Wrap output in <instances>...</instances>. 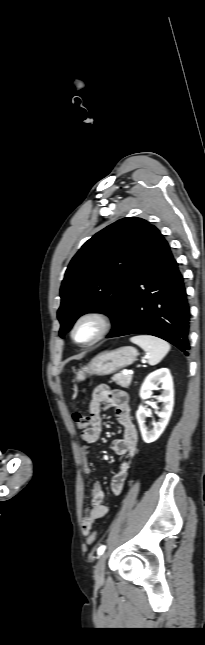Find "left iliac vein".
Instances as JSON below:
<instances>
[{"mask_svg":"<svg viewBox=\"0 0 205 645\" xmlns=\"http://www.w3.org/2000/svg\"><path fill=\"white\" fill-rule=\"evenodd\" d=\"M105 564H106V553L100 556L94 569V578L98 583H102L104 581Z\"/></svg>","mask_w":205,"mask_h":645,"instance_id":"4c4485c4","label":"left iliac vein"}]
</instances>
